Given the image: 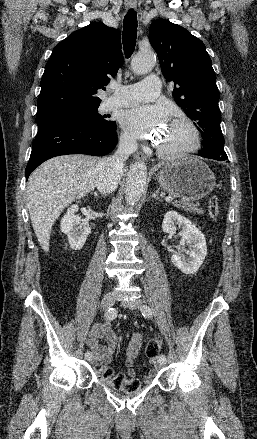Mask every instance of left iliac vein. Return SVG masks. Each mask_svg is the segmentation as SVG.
<instances>
[{
  "label": "left iliac vein",
  "instance_id": "obj_1",
  "mask_svg": "<svg viewBox=\"0 0 257 439\" xmlns=\"http://www.w3.org/2000/svg\"><path fill=\"white\" fill-rule=\"evenodd\" d=\"M122 305L128 307L129 309H140L142 302L139 299L123 300ZM166 362H158V367L161 368Z\"/></svg>",
  "mask_w": 257,
  "mask_h": 439
}]
</instances>
